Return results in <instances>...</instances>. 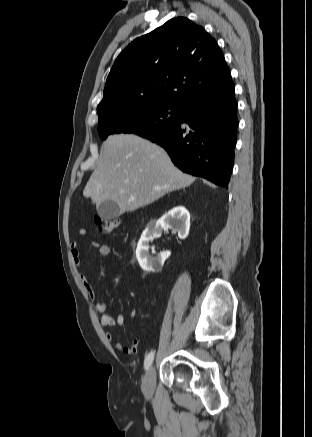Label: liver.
Returning a JSON list of instances; mask_svg holds the SVG:
<instances>
[{
  "label": "liver",
  "instance_id": "6515ba94",
  "mask_svg": "<svg viewBox=\"0 0 312 437\" xmlns=\"http://www.w3.org/2000/svg\"><path fill=\"white\" fill-rule=\"evenodd\" d=\"M194 180L175 167L160 146L133 134H115L103 143L83 195L97 206L112 200L124 213L149 205Z\"/></svg>",
  "mask_w": 312,
  "mask_h": 437
}]
</instances>
